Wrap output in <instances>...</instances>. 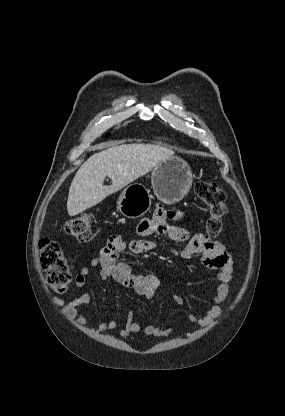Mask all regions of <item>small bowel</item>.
Here are the masks:
<instances>
[{
	"mask_svg": "<svg viewBox=\"0 0 285 416\" xmlns=\"http://www.w3.org/2000/svg\"><path fill=\"white\" fill-rule=\"evenodd\" d=\"M181 214L175 210H166L162 206H157L151 218L143 219L138 226V234L141 239L124 240L120 236H112L105 247L101 249L98 256L93 258L89 266H83L75 277V284L83 287L86 279L91 272V268H97L102 280L113 279L119 285L135 291L145 299H151L158 287L160 279L150 273H137L121 259L122 252L128 250L134 254H145L158 248L156 241L148 239L151 236H163L169 240L179 243L187 242L183 249H172L171 251L179 257L190 258L201 255L203 266L217 270L219 284L214 296L211 298V307L206 314L196 316L195 314L187 315V322L190 325L208 326L218 318L226 301L230 283L233 275L232 255L224 241H211L208 236L203 234H192L186 228L172 224L170 220H179ZM178 304L183 303L179 295H174ZM92 295L85 292L77 298L66 301L55 298L54 301L62 309L65 317L78 326H84L87 323V316L80 311V307L89 304ZM118 327L116 320L101 321L97 325V331L100 333L114 331ZM173 328L163 329L155 325H143L134 320V316L129 312L126 316L125 323L120 329V335L127 338L132 334L144 333L156 337H167L172 335Z\"/></svg>",
	"mask_w": 285,
	"mask_h": 416,
	"instance_id": "c3829d8e",
	"label": "small bowel"
}]
</instances>
